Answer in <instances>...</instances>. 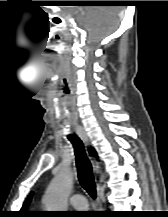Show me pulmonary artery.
Segmentation results:
<instances>
[{
    "label": "pulmonary artery",
    "mask_w": 168,
    "mask_h": 217,
    "mask_svg": "<svg viewBox=\"0 0 168 217\" xmlns=\"http://www.w3.org/2000/svg\"><path fill=\"white\" fill-rule=\"evenodd\" d=\"M70 204H71L75 209H78V210L86 209L87 206H88L84 195L79 194V193L73 194V195L70 197Z\"/></svg>",
    "instance_id": "e3ab8cb5"
}]
</instances>
